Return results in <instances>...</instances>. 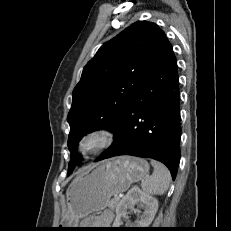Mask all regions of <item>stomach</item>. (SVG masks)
Instances as JSON below:
<instances>
[{
    "label": "stomach",
    "instance_id": "obj_1",
    "mask_svg": "<svg viewBox=\"0 0 231 231\" xmlns=\"http://www.w3.org/2000/svg\"><path fill=\"white\" fill-rule=\"evenodd\" d=\"M148 172V162L138 157L118 156L97 163L71 183L67 192L68 217L62 228H82L75 227L80 219L105 209L113 195L127 190Z\"/></svg>",
    "mask_w": 231,
    "mask_h": 231
}]
</instances>
